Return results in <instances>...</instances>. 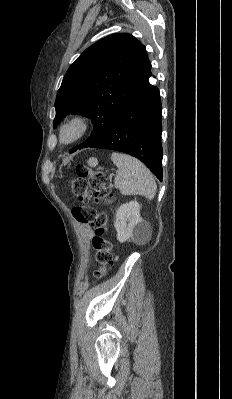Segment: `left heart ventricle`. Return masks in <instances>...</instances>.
<instances>
[{"mask_svg": "<svg viewBox=\"0 0 232 399\" xmlns=\"http://www.w3.org/2000/svg\"><path fill=\"white\" fill-rule=\"evenodd\" d=\"M76 133H77L76 126L68 127L65 129V131L63 133V138H64V140H70L71 138H73L75 136Z\"/></svg>", "mask_w": 232, "mask_h": 399, "instance_id": "b2bd125f", "label": "left heart ventricle"}]
</instances>
